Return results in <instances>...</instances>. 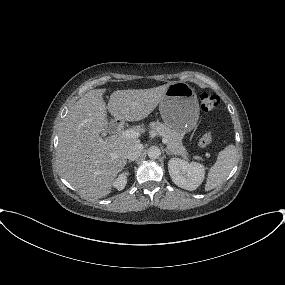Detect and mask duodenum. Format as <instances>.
Segmentation results:
<instances>
[{
	"label": "duodenum",
	"mask_w": 285,
	"mask_h": 285,
	"mask_svg": "<svg viewBox=\"0 0 285 285\" xmlns=\"http://www.w3.org/2000/svg\"><path fill=\"white\" fill-rule=\"evenodd\" d=\"M111 130L114 134H119L123 130V123L121 121H114L111 125Z\"/></svg>",
	"instance_id": "duodenum-1"
}]
</instances>
